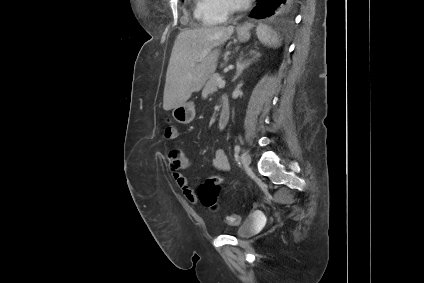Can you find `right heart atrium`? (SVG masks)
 <instances>
[{
	"mask_svg": "<svg viewBox=\"0 0 424 283\" xmlns=\"http://www.w3.org/2000/svg\"><path fill=\"white\" fill-rule=\"evenodd\" d=\"M216 10L223 16H227L234 8V0H211Z\"/></svg>",
	"mask_w": 424,
	"mask_h": 283,
	"instance_id": "d8ad5b80",
	"label": "right heart atrium"
}]
</instances>
